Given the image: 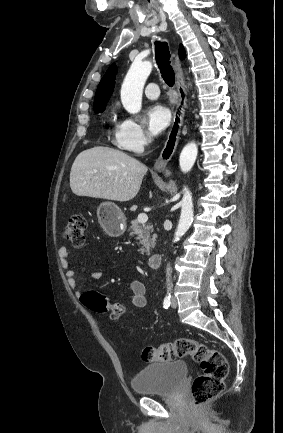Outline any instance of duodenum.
Listing matches in <instances>:
<instances>
[{"label": "duodenum", "instance_id": "duodenum-1", "mask_svg": "<svg viewBox=\"0 0 283 433\" xmlns=\"http://www.w3.org/2000/svg\"><path fill=\"white\" fill-rule=\"evenodd\" d=\"M162 262V255L159 253H155L150 256L148 259V266L152 269H157L160 267Z\"/></svg>", "mask_w": 283, "mask_h": 433}]
</instances>
